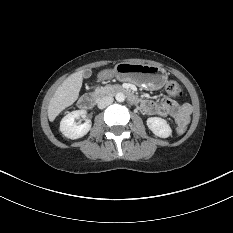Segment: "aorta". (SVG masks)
I'll use <instances>...</instances> for the list:
<instances>
[{"label": "aorta", "instance_id": "762f6f07", "mask_svg": "<svg viewBox=\"0 0 233 233\" xmlns=\"http://www.w3.org/2000/svg\"><path fill=\"white\" fill-rule=\"evenodd\" d=\"M115 99L118 101V102H124L125 100V95L123 93H117L116 96H115Z\"/></svg>", "mask_w": 233, "mask_h": 233}]
</instances>
